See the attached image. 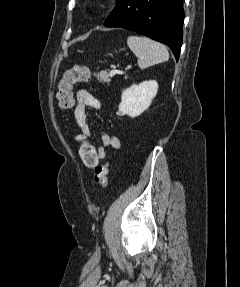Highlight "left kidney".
I'll use <instances>...</instances> for the list:
<instances>
[{
  "mask_svg": "<svg viewBox=\"0 0 240 287\" xmlns=\"http://www.w3.org/2000/svg\"><path fill=\"white\" fill-rule=\"evenodd\" d=\"M158 91V83L154 80L132 85L123 91L119 104V115L135 118L149 108Z\"/></svg>",
  "mask_w": 240,
  "mask_h": 287,
  "instance_id": "obj_1",
  "label": "left kidney"
}]
</instances>
